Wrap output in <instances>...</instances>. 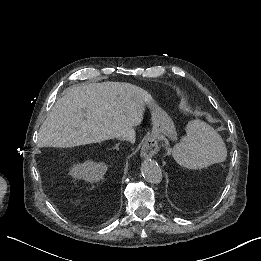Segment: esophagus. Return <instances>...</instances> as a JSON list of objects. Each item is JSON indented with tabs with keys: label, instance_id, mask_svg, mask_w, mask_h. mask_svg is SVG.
Instances as JSON below:
<instances>
[{
	"label": "esophagus",
	"instance_id": "esophagus-1",
	"mask_svg": "<svg viewBox=\"0 0 261 261\" xmlns=\"http://www.w3.org/2000/svg\"><path fill=\"white\" fill-rule=\"evenodd\" d=\"M160 147L156 138L149 137L141 148L142 158H152L159 151Z\"/></svg>",
	"mask_w": 261,
	"mask_h": 261
}]
</instances>
